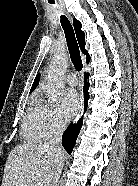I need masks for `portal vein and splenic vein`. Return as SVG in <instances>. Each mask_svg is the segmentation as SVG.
Returning <instances> with one entry per match:
<instances>
[{
	"instance_id": "1",
	"label": "portal vein and splenic vein",
	"mask_w": 138,
	"mask_h": 186,
	"mask_svg": "<svg viewBox=\"0 0 138 186\" xmlns=\"http://www.w3.org/2000/svg\"><path fill=\"white\" fill-rule=\"evenodd\" d=\"M35 186H43V182H37L36 184H35Z\"/></svg>"
}]
</instances>
